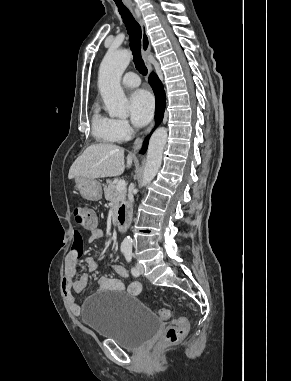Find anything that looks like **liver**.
<instances>
[{"mask_svg":"<svg viewBox=\"0 0 291 381\" xmlns=\"http://www.w3.org/2000/svg\"><path fill=\"white\" fill-rule=\"evenodd\" d=\"M132 165V156L124 162V149L111 143L90 145L70 167L68 178L86 177L90 179L121 175L125 167Z\"/></svg>","mask_w":291,"mask_h":381,"instance_id":"6515ba94","label":"liver"}]
</instances>
